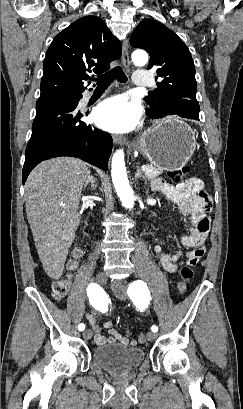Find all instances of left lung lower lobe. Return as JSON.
<instances>
[{"instance_id": "0a47b994", "label": "left lung lower lobe", "mask_w": 243, "mask_h": 409, "mask_svg": "<svg viewBox=\"0 0 243 409\" xmlns=\"http://www.w3.org/2000/svg\"><path fill=\"white\" fill-rule=\"evenodd\" d=\"M191 107H187V106H179L175 109L172 110H168L166 113V115H179L181 117L184 118H189V119H195V120H199V112L198 111H194L192 109H190ZM187 110H189L187 112ZM148 116L152 119L154 118H159L157 114H150L148 113Z\"/></svg>"}]
</instances>
